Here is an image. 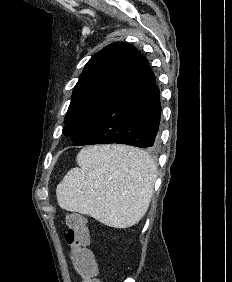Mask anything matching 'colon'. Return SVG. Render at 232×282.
<instances>
[{
    "mask_svg": "<svg viewBox=\"0 0 232 282\" xmlns=\"http://www.w3.org/2000/svg\"><path fill=\"white\" fill-rule=\"evenodd\" d=\"M66 225L65 241L70 247V258L82 282H100L96 277L97 264L89 248L87 219L80 214L70 213L66 216Z\"/></svg>",
    "mask_w": 232,
    "mask_h": 282,
    "instance_id": "5ec220e1",
    "label": "colon"
}]
</instances>
